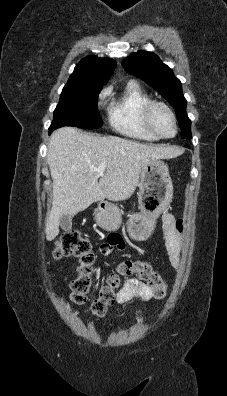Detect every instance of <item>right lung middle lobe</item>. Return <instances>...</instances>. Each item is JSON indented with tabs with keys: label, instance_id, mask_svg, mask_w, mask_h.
<instances>
[{
	"label": "right lung middle lobe",
	"instance_id": "dd1d6c3e",
	"mask_svg": "<svg viewBox=\"0 0 227 396\" xmlns=\"http://www.w3.org/2000/svg\"><path fill=\"white\" fill-rule=\"evenodd\" d=\"M101 88L98 85L66 84L49 129L53 131L63 126L83 129L101 127L103 123L97 107Z\"/></svg>",
	"mask_w": 227,
	"mask_h": 396
}]
</instances>
